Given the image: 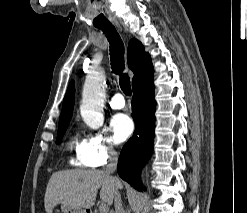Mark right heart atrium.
Returning <instances> with one entry per match:
<instances>
[{"label": "right heart atrium", "instance_id": "d8ad5b80", "mask_svg": "<svg viewBox=\"0 0 247 213\" xmlns=\"http://www.w3.org/2000/svg\"><path fill=\"white\" fill-rule=\"evenodd\" d=\"M116 155V147L105 132L90 133L84 141L82 158L89 167L104 166Z\"/></svg>", "mask_w": 247, "mask_h": 213}]
</instances>
